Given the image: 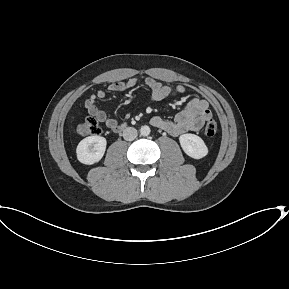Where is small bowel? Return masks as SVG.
Segmentation results:
<instances>
[{"instance_id":"c3829d8e","label":"small bowel","mask_w":289,"mask_h":289,"mask_svg":"<svg viewBox=\"0 0 289 289\" xmlns=\"http://www.w3.org/2000/svg\"><path fill=\"white\" fill-rule=\"evenodd\" d=\"M141 81L138 78L129 79L126 82H115L108 86L110 92H123L132 88ZM143 85L150 91L151 101L164 100L170 96L185 92V87L178 85L171 87L152 77H147L142 81ZM106 92L98 90L85 101V108L89 115L96 118L99 122L104 123L110 130L117 131L120 128L118 121L114 118H109L107 114L97 107V101L104 99ZM129 116V114H127ZM212 114L209 109L208 102L201 98H192L186 107L181 110L173 120H167L159 116L151 119V124L157 128L163 129L172 136H180L187 132L199 131L204 123L211 119Z\"/></svg>"}]
</instances>
